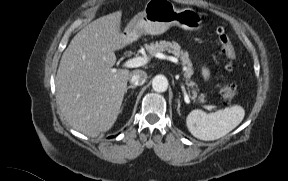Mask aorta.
<instances>
[{
    "instance_id": "aorta-1",
    "label": "aorta",
    "mask_w": 288,
    "mask_h": 181,
    "mask_svg": "<svg viewBox=\"0 0 288 181\" xmlns=\"http://www.w3.org/2000/svg\"><path fill=\"white\" fill-rule=\"evenodd\" d=\"M152 88L156 92H165L168 88V80L164 75H156L152 80Z\"/></svg>"
}]
</instances>
